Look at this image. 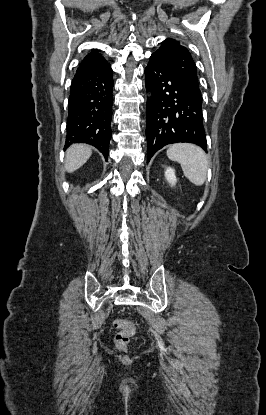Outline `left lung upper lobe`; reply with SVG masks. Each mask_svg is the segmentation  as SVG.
Instances as JSON below:
<instances>
[{
    "instance_id": "1",
    "label": "left lung upper lobe",
    "mask_w": 266,
    "mask_h": 415,
    "mask_svg": "<svg viewBox=\"0 0 266 415\" xmlns=\"http://www.w3.org/2000/svg\"><path fill=\"white\" fill-rule=\"evenodd\" d=\"M161 59L180 76L187 87L200 99L197 69L188 49L172 38L164 40L155 52Z\"/></svg>"
}]
</instances>
